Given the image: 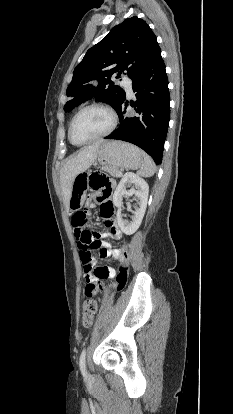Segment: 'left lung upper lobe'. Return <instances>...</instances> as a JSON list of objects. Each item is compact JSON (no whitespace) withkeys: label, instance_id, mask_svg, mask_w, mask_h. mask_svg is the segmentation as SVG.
<instances>
[{"label":"left lung upper lobe","instance_id":"1","mask_svg":"<svg viewBox=\"0 0 233 414\" xmlns=\"http://www.w3.org/2000/svg\"><path fill=\"white\" fill-rule=\"evenodd\" d=\"M159 50L157 38L144 20L137 16L124 20L90 48L76 66L67 88L70 100L64 110L69 112L93 96L116 110L125 98V92L114 85L111 77L119 78L126 70L132 79Z\"/></svg>","mask_w":233,"mask_h":414}]
</instances>
